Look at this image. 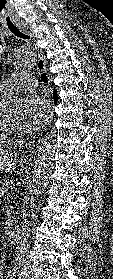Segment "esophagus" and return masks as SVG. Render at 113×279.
I'll use <instances>...</instances> for the list:
<instances>
[{
    "label": "esophagus",
    "instance_id": "obj_1",
    "mask_svg": "<svg viewBox=\"0 0 113 279\" xmlns=\"http://www.w3.org/2000/svg\"><path fill=\"white\" fill-rule=\"evenodd\" d=\"M18 28L23 32L25 33L26 35L30 36L33 41H34V47L38 53V61H37V70L38 71H41V72H46V58H45V55H44V52L42 49H40L38 46H37V38H36V35L34 34L33 30L31 29L30 26H28L27 24H18L17 25Z\"/></svg>",
    "mask_w": 113,
    "mask_h": 279
}]
</instances>
